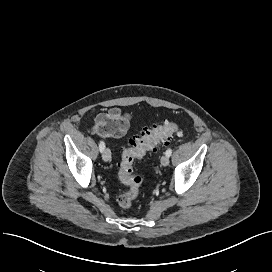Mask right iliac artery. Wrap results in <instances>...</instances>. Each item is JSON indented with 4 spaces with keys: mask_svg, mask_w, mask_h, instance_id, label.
<instances>
[{
    "mask_svg": "<svg viewBox=\"0 0 272 272\" xmlns=\"http://www.w3.org/2000/svg\"><path fill=\"white\" fill-rule=\"evenodd\" d=\"M99 149H100V152H103V150L105 149V143L103 141H100Z\"/></svg>",
    "mask_w": 272,
    "mask_h": 272,
    "instance_id": "1",
    "label": "right iliac artery"
}]
</instances>
